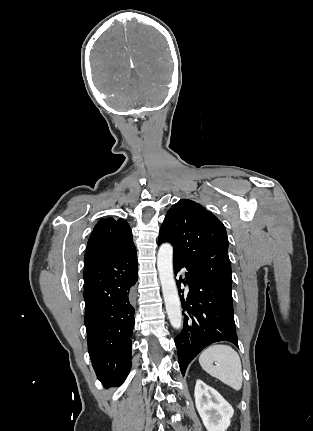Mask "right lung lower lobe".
<instances>
[{"label": "right lung lower lobe", "mask_w": 313, "mask_h": 431, "mask_svg": "<svg viewBox=\"0 0 313 431\" xmlns=\"http://www.w3.org/2000/svg\"><path fill=\"white\" fill-rule=\"evenodd\" d=\"M85 326L97 378L121 384L131 368L134 308L132 286L138 279L135 247L84 265Z\"/></svg>", "instance_id": "98d812e1"}]
</instances>
